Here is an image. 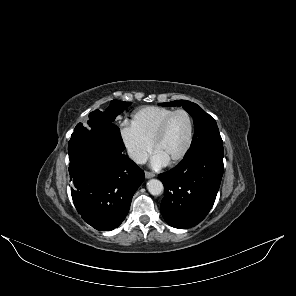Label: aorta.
<instances>
[{
	"instance_id": "obj_1",
	"label": "aorta",
	"mask_w": 296,
	"mask_h": 296,
	"mask_svg": "<svg viewBox=\"0 0 296 296\" xmlns=\"http://www.w3.org/2000/svg\"><path fill=\"white\" fill-rule=\"evenodd\" d=\"M147 189L150 194L158 196L163 192V184L158 179H151L147 182Z\"/></svg>"
}]
</instances>
